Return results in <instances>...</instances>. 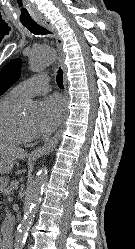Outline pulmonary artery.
Returning <instances> with one entry per match:
<instances>
[{
  "label": "pulmonary artery",
  "instance_id": "e3ab8cb5",
  "mask_svg": "<svg viewBox=\"0 0 135 249\" xmlns=\"http://www.w3.org/2000/svg\"><path fill=\"white\" fill-rule=\"evenodd\" d=\"M50 89L48 77L38 75L21 82L12 89V92L18 98L26 100L37 95L45 94L49 92Z\"/></svg>",
  "mask_w": 135,
  "mask_h": 249
}]
</instances>
